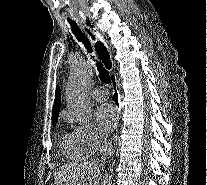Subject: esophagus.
I'll return each instance as SVG.
<instances>
[{"label":"esophagus","instance_id":"34e87169","mask_svg":"<svg viewBox=\"0 0 207 185\" xmlns=\"http://www.w3.org/2000/svg\"><path fill=\"white\" fill-rule=\"evenodd\" d=\"M83 23L85 24L86 22L82 21L81 24ZM83 30H90V25H83ZM89 37H93L91 38V43H94L95 49L108 47L107 43H99L100 33L89 34ZM96 54L104 55V56H99V61H104L102 63V66L108 68L110 71V79H111V84H112V100L116 107V118H117V122L119 123L120 113L121 111L125 110V107L121 106V102H120L119 82L114 72L115 63L112 61L113 57L111 56V51L108 48L106 50H97ZM118 136H119V132L118 130H116L114 137H113L114 143H117Z\"/></svg>","mask_w":207,"mask_h":185}]
</instances>
